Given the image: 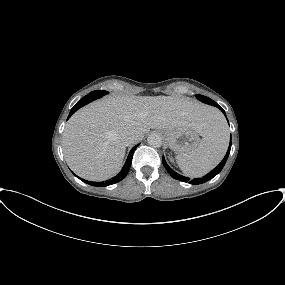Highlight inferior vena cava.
I'll return each mask as SVG.
<instances>
[{"label":"inferior vena cava","instance_id":"1","mask_svg":"<svg viewBox=\"0 0 285 285\" xmlns=\"http://www.w3.org/2000/svg\"><path fill=\"white\" fill-rule=\"evenodd\" d=\"M123 141L126 145H130L138 141V136L132 132H127L123 135Z\"/></svg>","mask_w":285,"mask_h":285}]
</instances>
